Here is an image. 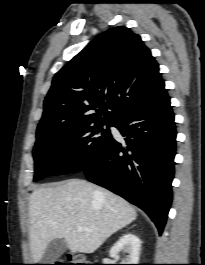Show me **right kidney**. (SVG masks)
<instances>
[{
    "instance_id": "1",
    "label": "right kidney",
    "mask_w": 205,
    "mask_h": 265,
    "mask_svg": "<svg viewBox=\"0 0 205 265\" xmlns=\"http://www.w3.org/2000/svg\"><path fill=\"white\" fill-rule=\"evenodd\" d=\"M140 249L141 240L135 234L127 233L110 249V256L116 258L120 251H124L128 257L122 264H138Z\"/></svg>"
}]
</instances>
